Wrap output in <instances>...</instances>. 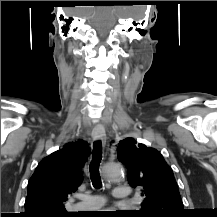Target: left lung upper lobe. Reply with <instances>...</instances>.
I'll list each match as a JSON object with an SVG mask.
<instances>
[{
	"label": "left lung upper lobe",
	"instance_id": "5c2ea615",
	"mask_svg": "<svg viewBox=\"0 0 217 217\" xmlns=\"http://www.w3.org/2000/svg\"><path fill=\"white\" fill-rule=\"evenodd\" d=\"M117 157L128 170L132 187L141 186L143 217H182L185 213L172 169L153 148L126 138L117 146Z\"/></svg>",
	"mask_w": 217,
	"mask_h": 217
}]
</instances>
